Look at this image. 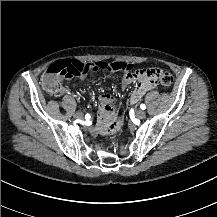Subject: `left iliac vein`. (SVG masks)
<instances>
[{
	"label": "left iliac vein",
	"instance_id": "left-iliac-vein-1",
	"mask_svg": "<svg viewBox=\"0 0 217 217\" xmlns=\"http://www.w3.org/2000/svg\"><path fill=\"white\" fill-rule=\"evenodd\" d=\"M135 115L138 119H143L146 116V112L143 110H138L136 111Z\"/></svg>",
	"mask_w": 217,
	"mask_h": 217
}]
</instances>
